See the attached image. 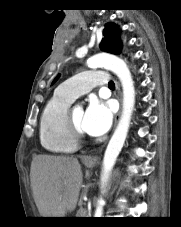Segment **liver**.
Returning <instances> with one entry per match:
<instances>
[{
    "label": "liver",
    "mask_w": 181,
    "mask_h": 227,
    "mask_svg": "<svg viewBox=\"0 0 181 227\" xmlns=\"http://www.w3.org/2000/svg\"><path fill=\"white\" fill-rule=\"evenodd\" d=\"M34 201L42 217H65L75 210L83 182L77 158L35 156L30 170Z\"/></svg>",
    "instance_id": "liver-1"
}]
</instances>
